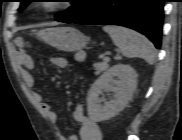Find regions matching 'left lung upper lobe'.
<instances>
[{"instance_id":"5c2ea615","label":"left lung upper lobe","mask_w":182,"mask_h":140,"mask_svg":"<svg viewBox=\"0 0 182 140\" xmlns=\"http://www.w3.org/2000/svg\"><path fill=\"white\" fill-rule=\"evenodd\" d=\"M32 1L33 0H20L21 5L18 10H24ZM69 2L72 3L70 9L56 15V21L72 23L92 12L100 5L102 0H70Z\"/></svg>"}]
</instances>
